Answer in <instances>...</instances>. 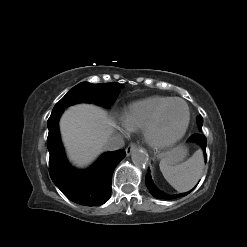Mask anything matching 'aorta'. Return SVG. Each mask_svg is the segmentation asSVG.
<instances>
[{"mask_svg": "<svg viewBox=\"0 0 247 247\" xmlns=\"http://www.w3.org/2000/svg\"><path fill=\"white\" fill-rule=\"evenodd\" d=\"M132 161L139 168H145L148 166L149 157L146 152L141 149H136L132 153Z\"/></svg>", "mask_w": 247, "mask_h": 247, "instance_id": "obj_1", "label": "aorta"}]
</instances>
